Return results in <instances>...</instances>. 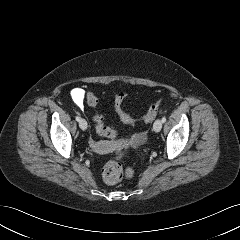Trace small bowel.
<instances>
[{
  "mask_svg": "<svg viewBox=\"0 0 240 240\" xmlns=\"http://www.w3.org/2000/svg\"><path fill=\"white\" fill-rule=\"evenodd\" d=\"M71 98L76 106L83 108L86 99V92L83 88H74L71 91ZM90 144L94 150L101 153L109 152L114 146L112 142L106 141L96 142L91 140Z\"/></svg>",
  "mask_w": 240,
  "mask_h": 240,
  "instance_id": "1",
  "label": "small bowel"
}]
</instances>
